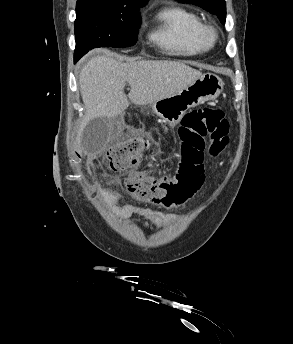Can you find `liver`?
Listing matches in <instances>:
<instances>
[{
	"mask_svg": "<svg viewBox=\"0 0 293 344\" xmlns=\"http://www.w3.org/2000/svg\"><path fill=\"white\" fill-rule=\"evenodd\" d=\"M202 76L201 71L175 61L121 63L102 55L93 57L79 74L80 92L85 105L83 127L97 117L114 118L129 106L123 89L131 86L128 98L136 105H147L181 92ZM81 133L76 147L81 152Z\"/></svg>",
	"mask_w": 293,
	"mask_h": 344,
	"instance_id": "6515ba94",
	"label": "liver"
}]
</instances>
